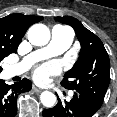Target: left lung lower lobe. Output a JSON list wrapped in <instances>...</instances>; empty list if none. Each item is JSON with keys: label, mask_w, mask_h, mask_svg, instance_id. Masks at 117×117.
Returning a JSON list of instances; mask_svg holds the SVG:
<instances>
[{"label": "left lung lower lobe", "mask_w": 117, "mask_h": 117, "mask_svg": "<svg viewBox=\"0 0 117 117\" xmlns=\"http://www.w3.org/2000/svg\"><path fill=\"white\" fill-rule=\"evenodd\" d=\"M100 106L83 94L74 93L70 102L60 99L55 107L43 110V117H91Z\"/></svg>", "instance_id": "1"}]
</instances>
